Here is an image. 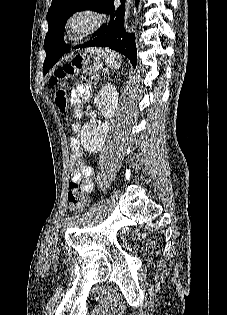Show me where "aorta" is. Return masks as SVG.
<instances>
[{"mask_svg": "<svg viewBox=\"0 0 227 315\" xmlns=\"http://www.w3.org/2000/svg\"><path fill=\"white\" fill-rule=\"evenodd\" d=\"M131 2L132 0H125V15H124V26L127 28L128 21L131 15Z\"/></svg>", "mask_w": 227, "mask_h": 315, "instance_id": "1", "label": "aorta"}]
</instances>
